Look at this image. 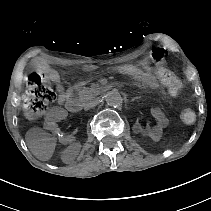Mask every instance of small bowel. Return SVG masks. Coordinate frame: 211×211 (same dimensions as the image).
<instances>
[{
  "mask_svg": "<svg viewBox=\"0 0 211 211\" xmlns=\"http://www.w3.org/2000/svg\"><path fill=\"white\" fill-rule=\"evenodd\" d=\"M37 70L44 73L47 78L57 85V90L59 92L58 96V103L63 104L66 100H68L72 94L73 89L72 88H66L64 87L59 79V76L56 72L50 70L46 65L44 64H37L36 66ZM119 72H125L130 73L136 77L137 84L140 87H148V88H154V89H160L163 94L166 96L169 95V91L162 87L161 84L158 82L157 78L149 73H142L135 69L134 67H119L117 68ZM79 84L78 86H80ZM152 117L154 119L152 124H149L145 131L148 136L151 138H154L157 136L163 128L166 126L167 119L163 113V111L158 108L154 107L152 108ZM58 116L55 114V111H52L46 118L44 129L50 133H52L58 140L59 143H65L67 141V136L62 133L57 125Z\"/></svg>",
  "mask_w": 211,
  "mask_h": 211,
  "instance_id": "1",
  "label": "small bowel"
}]
</instances>
